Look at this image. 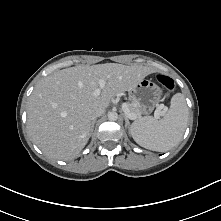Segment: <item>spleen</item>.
<instances>
[{
    "label": "spleen",
    "instance_id": "1",
    "mask_svg": "<svg viewBox=\"0 0 221 221\" xmlns=\"http://www.w3.org/2000/svg\"><path fill=\"white\" fill-rule=\"evenodd\" d=\"M188 107L181 93L175 94L165 116L158 120L142 117L131 125L130 133L137 144L158 152H165L177 145L183 137L188 121Z\"/></svg>",
    "mask_w": 221,
    "mask_h": 221
}]
</instances>
